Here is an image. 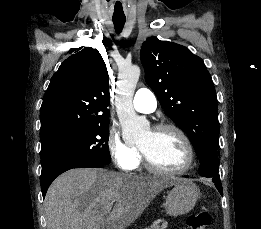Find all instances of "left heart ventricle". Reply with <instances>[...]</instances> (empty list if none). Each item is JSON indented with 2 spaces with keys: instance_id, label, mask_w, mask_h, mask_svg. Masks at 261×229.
Here are the masks:
<instances>
[{
  "instance_id": "obj_1",
  "label": "left heart ventricle",
  "mask_w": 261,
  "mask_h": 229,
  "mask_svg": "<svg viewBox=\"0 0 261 229\" xmlns=\"http://www.w3.org/2000/svg\"><path fill=\"white\" fill-rule=\"evenodd\" d=\"M151 161L165 170L180 169L186 161V150L180 137L173 131L146 132L139 141Z\"/></svg>"
}]
</instances>
